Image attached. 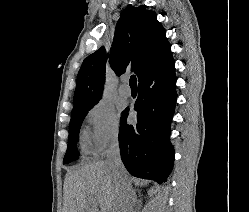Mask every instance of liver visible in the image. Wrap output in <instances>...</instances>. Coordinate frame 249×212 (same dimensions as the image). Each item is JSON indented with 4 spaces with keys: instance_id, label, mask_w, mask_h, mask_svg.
<instances>
[{
    "instance_id": "liver-1",
    "label": "liver",
    "mask_w": 249,
    "mask_h": 212,
    "mask_svg": "<svg viewBox=\"0 0 249 212\" xmlns=\"http://www.w3.org/2000/svg\"><path fill=\"white\" fill-rule=\"evenodd\" d=\"M114 168L107 162H94L69 170L65 178L66 212H113Z\"/></svg>"
}]
</instances>
